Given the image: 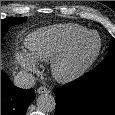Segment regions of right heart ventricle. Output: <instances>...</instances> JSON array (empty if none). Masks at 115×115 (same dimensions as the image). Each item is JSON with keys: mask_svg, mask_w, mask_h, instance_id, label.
<instances>
[{"mask_svg": "<svg viewBox=\"0 0 115 115\" xmlns=\"http://www.w3.org/2000/svg\"><path fill=\"white\" fill-rule=\"evenodd\" d=\"M88 31L75 23L56 24L31 32L25 44L30 56L38 62H49L61 55L81 34Z\"/></svg>", "mask_w": 115, "mask_h": 115, "instance_id": "1", "label": "right heart ventricle"}]
</instances>
